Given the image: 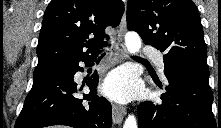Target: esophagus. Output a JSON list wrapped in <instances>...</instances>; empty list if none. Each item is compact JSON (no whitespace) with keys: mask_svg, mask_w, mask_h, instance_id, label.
Instances as JSON below:
<instances>
[{"mask_svg":"<svg viewBox=\"0 0 221 128\" xmlns=\"http://www.w3.org/2000/svg\"><path fill=\"white\" fill-rule=\"evenodd\" d=\"M125 33H126V11L124 12L123 17L121 19L120 28H119V37L123 39ZM125 114H126L125 107L116 103L112 104V118L114 123L116 124L121 123L123 121V117L125 116Z\"/></svg>","mask_w":221,"mask_h":128,"instance_id":"1","label":"esophagus"}]
</instances>
